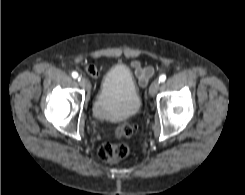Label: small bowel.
<instances>
[{"label":"small bowel","instance_id":"c3829d8e","mask_svg":"<svg viewBox=\"0 0 245 195\" xmlns=\"http://www.w3.org/2000/svg\"><path fill=\"white\" fill-rule=\"evenodd\" d=\"M131 66L134 69L135 76L141 85H144L154 73L153 68L143 67L139 61H133ZM85 70L89 75L95 78H98L102 71V69H99L91 64L87 65Z\"/></svg>","mask_w":245,"mask_h":195}]
</instances>
